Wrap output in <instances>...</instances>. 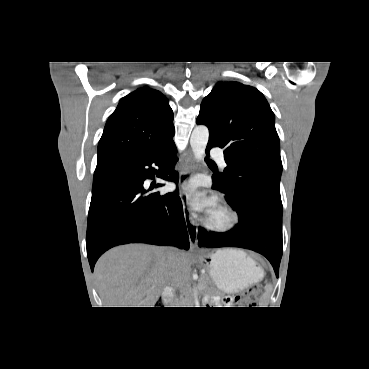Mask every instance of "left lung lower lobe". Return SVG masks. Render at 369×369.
I'll return each mask as SVG.
<instances>
[{"label":"left lung lower lobe","mask_w":369,"mask_h":369,"mask_svg":"<svg viewBox=\"0 0 369 369\" xmlns=\"http://www.w3.org/2000/svg\"><path fill=\"white\" fill-rule=\"evenodd\" d=\"M216 145L209 143L206 154ZM213 189L226 195L227 203L237 211L239 222L225 233L199 228L200 247H240L264 255L278 276L282 257V202L270 194L254 189L237 192L225 189L214 176Z\"/></svg>","instance_id":"0a47b994"}]
</instances>
